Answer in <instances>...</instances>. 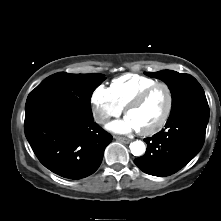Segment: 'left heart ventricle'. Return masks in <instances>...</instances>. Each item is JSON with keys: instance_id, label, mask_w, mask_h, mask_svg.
I'll return each instance as SVG.
<instances>
[{"instance_id": "left-heart-ventricle-1", "label": "left heart ventricle", "mask_w": 221, "mask_h": 221, "mask_svg": "<svg viewBox=\"0 0 221 221\" xmlns=\"http://www.w3.org/2000/svg\"><path fill=\"white\" fill-rule=\"evenodd\" d=\"M168 103L165 88H156L138 107L132 109L127 117L138 130H146L155 126L163 117Z\"/></svg>"}]
</instances>
